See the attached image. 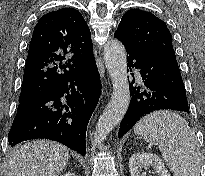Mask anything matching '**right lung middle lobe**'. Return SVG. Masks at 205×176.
Segmentation results:
<instances>
[{
	"instance_id": "dd1d6c3e",
	"label": "right lung middle lobe",
	"mask_w": 205,
	"mask_h": 176,
	"mask_svg": "<svg viewBox=\"0 0 205 176\" xmlns=\"http://www.w3.org/2000/svg\"><path fill=\"white\" fill-rule=\"evenodd\" d=\"M26 100H27V99H26ZM26 100H21V99H20V100H19V102H20L19 106H21ZM19 106H18V107H19Z\"/></svg>"
}]
</instances>
